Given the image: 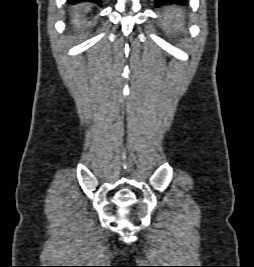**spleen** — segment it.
Here are the masks:
<instances>
[{
	"instance_id": "obj_1",
	"label": "spleen",
	"mask_w": 254,
	"mask_h": 267,
	"mask_svg": "<svg viewBox=\"0 0 254 267\" xmlns=\"http://www.w3.org/2000/svg\"><path fill=\"white\" fill-rule=\"evenodd\" d=\"M175 12L177 13V15H178L180 18L184 19V14H185V12H184L182 9H180V8H176V9H175Z\"/></svg>"
}]
</instances>
